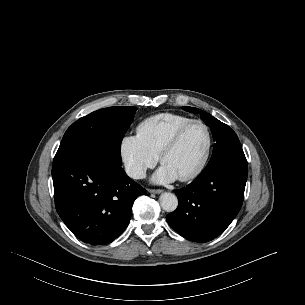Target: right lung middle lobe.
<instances>
[{
	"label": "right lung middle lobe",
	"instance_id": "1",
	"mask_svg": "<svg viewBox=\"0 0 305 305\" xmlns=\"http://www.w3.org/2000/svg\"><path fill=\"white\" fill-rule=\"evenodd\" d=\"M136 110L132 106L109 107L80 118L65 132L56 155L95 148L121 162V142Z\"/></svg>",
	"mask_w": 305,
	"mask_h": 305
}]
</instances>
